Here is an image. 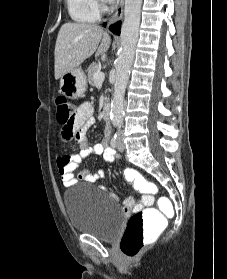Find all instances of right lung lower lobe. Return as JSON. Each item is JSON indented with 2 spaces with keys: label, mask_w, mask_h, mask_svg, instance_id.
<instances>
[{
  "label": "right lung lower lobe",
  "mask_w": 227,
  "mask_h": 279,
  "mask_svg": "<svg viewBox=\"0 0 227 279\" xmlns=\"http://www.w3.org/2000/svg\"><path fill=\"white\" fill-rule=\"evenodd\" d=\"M104 26H106V23H104ZM120 27H121V23L117 22L116 24L112 25L109 27V29L113 32L116 33L117 35L120 34Z\"/></svg>",
  "instance_id": "98d812e1"
}]
</instances>
